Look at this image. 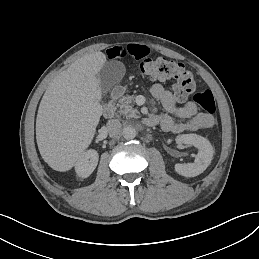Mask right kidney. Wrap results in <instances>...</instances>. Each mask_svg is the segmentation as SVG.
Wrapping results in <instances>:
<instances>
[{
  "instance_id": "right-kidney-1",
  "label": "right kidney",
  "mask_w": 259,
  "mask_h": 259,
  "mask_svg": "<svg viewBox=\"0 0 259 259\" xmlns=\"http://www.w3.org/2000/svg\"><path fill=\"white\" fill-rule=\"evenodd\" d=\"M98 163V155L95 151L90 150L85 153L77 162L76 171L78 176L88 177L95 170Z\"/></svg>"
}]
</instances>
